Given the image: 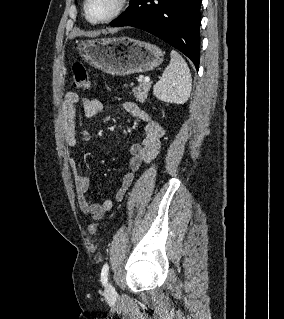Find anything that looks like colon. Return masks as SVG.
<instances>
[{
    "instance_id": "1",
    "label": "colon",
    "mask_w": 284,
    "mask_h": 319,
    "mask_svg": "<svg viewBox=\"0 0 284 319\" xmlns=\"http://www.w3.org/2000/svg\"><path fill=\"white\" fill-rule=\"evenodd\" d=\"M72 82L74 87L77 89H89L91 87V82L86 67L80 63L76 62L72 66ZM98 229L97 223H92L88 226V231L91 235H94Z\"/></svg>"
}]
</instances>
